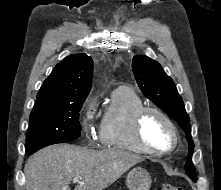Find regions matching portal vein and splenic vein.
I'll return each mask as SVG.
<instances>
[{
	"label": "portal vein and splenic vein",
	"mask_w": 221,
	"mask_h": 190,
	"mask_svg": "<svg viewBox=\"0 0 221 190\" xmlns=\"http://www.w3.org/2000/svg\"><path fill=\"white\" fill-rule=\"evenodd\" d=\"M81 181V178L80 177H74L73 178V182H80Z\"/></svg>",
	"instance_id": "obj_1"
}]
</instances>
